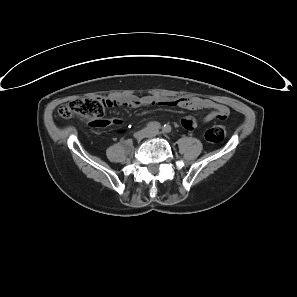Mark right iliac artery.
Masks as SVG:
<instances>
[{
    "instance_id": "obj_1",
    "label": "right iliac artery",
    "mask_w": 297,
    "mask_h": 297,
    "mask_svg": "<svg viewBox=\"0 0 297 297\" xmlns=\"http://www.w3.org/2000/svg\"><path fill=\"white\" fill-rule=\"evenodd\" d=\"M160 127H161L160 123L155 122V121L149 122L147 124V128H150V129H159Z\"/></svg>"
}]
</instances>
